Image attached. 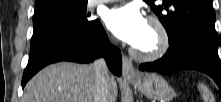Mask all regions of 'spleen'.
Masks as SVG:
<instances>
[{
	"label": "spleen",
	"instance_id": "spleen-1",
	"mask_svg": "<svg viewBox=\"0 0 221 102\" xmlns=\"http://www.w3.org/2000/svg\"><path fill=\"white\" fill-rule=\"evenodd\" d=\"M198 89L201 92L202 98L205 102H213L214 98L210 90L202 83L198 84Z\"/></svg>",
	"mask_w": 221,
	"mask_h": 102
}]
</instances>
